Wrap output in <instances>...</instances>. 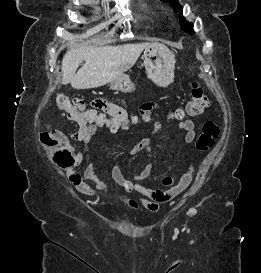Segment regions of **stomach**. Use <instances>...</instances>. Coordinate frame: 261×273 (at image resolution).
Masks as SVG:
<instances>
[{
    "label": "stomach",
    "instance_id": "obj_1",
    "mask_svg": "<svg viewBox=\"0 0 261 273\" xmlns=\"http://www.w3.org/2000/svg\"><path fill=\"white\" fill-rule=\"evenodd\" d=\"M144 65L148 78L158 86L166 87L174 80L175 58L171 51L161 43H152L144 50ZM110 87L122 92H132L135 85L126 74L109 82Z\"/></svg>",
    "mask_w": 261,
    "mask_h": 273
}]
</instances>
